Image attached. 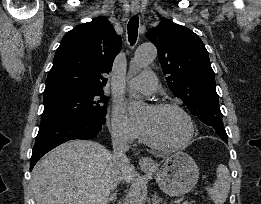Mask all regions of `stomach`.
I'll return each instance as SVG.
<instances>
[{
  "mask_svg": "<svg viewBox=\"0 0 261 204\" xmlns=\"http://www.w3.org/2000/svg\"><path fill=\"white\" fill-rule=\"evenodd\" d=\"M142 169L146 173H154L160 189L171 196H181L189 192L199 178V169L195 161L184 152L169 155L160 168L142 166Z\"/></svg>",
  "mask_w": 261,
  "mask_h": 204,
  "instance_id": "obj_1",
  "label": "stomach"
}]
</instances>
